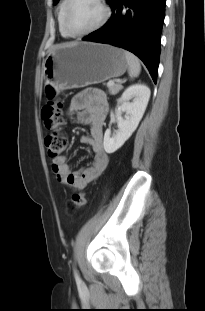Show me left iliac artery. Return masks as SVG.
<instances>
[{
    "label": "left iliac artery",
    "mask_w": 205,
    "mask_h": 311,
    "mask_svg": "<svg viewBox=\"0 0 205 311\" xmlns=\"http://www.w3.org/2000/svg\"><path fill=\"white\" fill-rule=\"evenodd\" d=\"M74 276L77 282H81L80 276L76 270H74Z\"/></svg>",
    "instance_id": "left-iliac-artery-1"
}]
</instances>
